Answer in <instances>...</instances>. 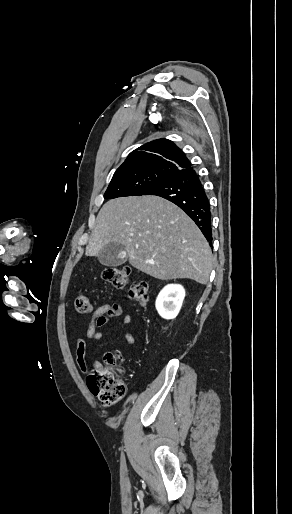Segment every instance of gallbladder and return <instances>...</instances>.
Listing matches in <instances>:
<instances>
[{
    "label": "gallbladder",
    "mask_w": 292,
    "mask_h": 514,
    "mask_svg": "<svg viewBox=\"0 0 292 514\" xmlns=\"http://www.w3.org/2000/svg\"><path fill=\"white\" fill-rule=\"evenodd\" d=\"M97 258L103 266L115 268L127 262L128 254L120 242H109L100 250Z\"/></svg>",
    "instance_id": "bac80fb5"
}]
</instances>
